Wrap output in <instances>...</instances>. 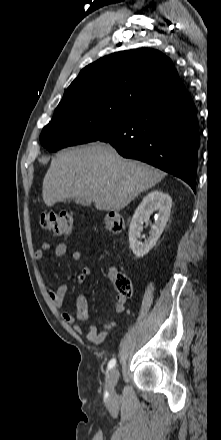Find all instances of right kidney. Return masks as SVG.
Returning <instances> with one entry per match:
<instances>
[{"instance_id":"ca27d5eb","label":"right kidney","mask_w":221,"mask_h":440,"mask_svg":"<svg viewBox=\"0 0 221 440\" xmlns=\"http://www.w3.org/2000/svg\"><path fill=\"white\" fill-rule=\"evenodd\" d=\"M171 206V197L161 190H153L143 198L135 210L129 227V243L136 257L145 256L154 247L166 226ZM154 211H157V214L150 236L144 243H141L139 238L141 237L143 223L149 221Z\"/></svg>"}]
</instances>
